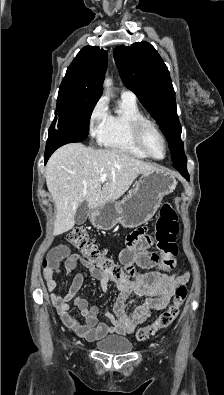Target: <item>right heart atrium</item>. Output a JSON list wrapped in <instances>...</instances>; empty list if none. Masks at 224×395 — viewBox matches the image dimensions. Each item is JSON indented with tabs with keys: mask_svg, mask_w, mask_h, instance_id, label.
Segmentation results:
<instances>
[{
	"mask_svg": "<svg viewBox=\"0 0 224 395\" xmlns=\"http://www.w3.org/2000/svg\"><path fill=\"white\" fill-rule=\"evenodd\" d=\"M107 117L108 110L106 101L100 98L93 105L88 117V129L92 137L99 138L104 130Z\"/></svg>",
	"mask_w": 224,
	"mask_h": 395,
	"instance_id": "obj_1",
	"label": "right heart atrium"
}]
</instances>
